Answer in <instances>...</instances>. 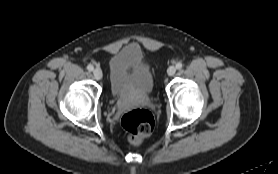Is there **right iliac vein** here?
<instances>
[{
	"mask_svg": "<svg viewBox=\"0 0 278 174\" xmlns=\"http://www.w3.org/2000/svg\"><path fill=\"white\" fill-rule=\"evenodd\" d=\"M93 75L96 80H101L103 77L102 71L98 68L93 71Z\"/></svg>",
	"mask_w": 278,
	"mask_h": 174,
	"instance_id": "63e3f726",
	"label": "right iliac vein"
}]
</instances>
